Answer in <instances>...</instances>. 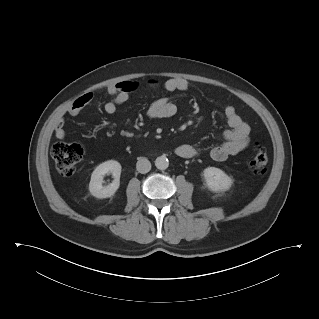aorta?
Here are the masks:
<instances>
[{"mask_svg":"<svg viewBox=\"0 0 319 319\" xmlns=\"http://www.w3.org/2000/svg\"><path fill=\"white\" fill-rule=\"evenodd\" d=\"M155 166L160 170H165L169 166V160L165 156L157 157L155 160Z\"/></svg>","mask_w":319,"mask_h":319,"instance_id":"obj_1","label":"aorta"}]
</instances>
